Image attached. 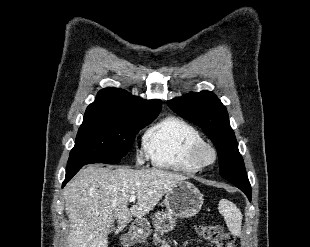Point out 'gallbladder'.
I'll list each match as a JSON object with an SVG mask.
<instances>
[{"mask_svg": "<svg viewBox=\"0 0 310 247\" xmlns=\"http://www.w3.org/2000/svg\"><path fill=\"white\" fill-rule=\"evenodd\" d=\"M113 230H114V228H113V227H111V228H110V230H109V232H112Z\"/></svg>", "mask_w": 310, "mask_h": 247, "instance_id": "gallbladder-1", "label": "gallbladder"}]
</instances>
